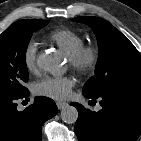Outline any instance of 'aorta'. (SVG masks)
<instances>
[{"mask_svg": "<svg viewBox=\"0 0 141 141\" xmlns=\"http://www.w3.org/2000/svg\"><path fill=\"white\" fill-rule=\"evenodd\" d=\"M37 65L44 71L56 74L60 70L58 59L51 53H43L37 58ZM78 118V111L74 106L67 105L61 111V119L67 124H73Z\"/></svg>", "mask_w": 141, "mask_h": 141, "instance_id": "aorta-1", "label": "aorta"}]
</instances>
